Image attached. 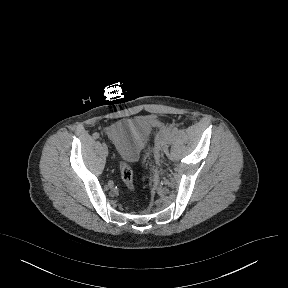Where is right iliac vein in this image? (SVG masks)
<instances>
[{"mask_svg":"<svg viewBox=\"0 0 288 288\" xmlns=\"http://www.w3.org/2000/svg\"><path fill=\"white\" fill-rule=\"evenodd\" d=\"M102 148H103L105 154H108V147L105 143H103Z\"/></svg>","mask_w":288,"mask_h":288,"instance_id":"right-iliac-vein-1","label":"right iliac vein"}]
</instances>
